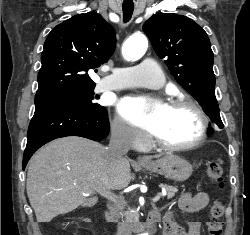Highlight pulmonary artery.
<instances>
[{
	"instance_id": "obj_1",
	"label": "pulmonary artery",
	"mask_w": 250,
	"mask_h": 235,
	"mask_svg": "<svg viewBox=\"0 0 250 235\" xmlns=\"http://www.w3.org/2000/svg\"><path fill=\"white\" fill-rule=\"evenodd\" d=\"M164 76L157 63L145 60L137 66L114 70L113 73L102 79L101 86L108 90H118L129 87L160 88Z\"/></svg>"
}]
</instances>
